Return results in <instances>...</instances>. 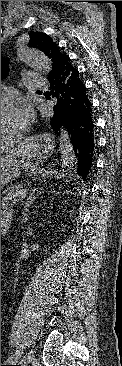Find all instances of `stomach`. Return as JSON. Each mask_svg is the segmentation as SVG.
Wrapping results in <instances>:
<instances>
[{"label": "stomach", "instance_id": "1", "mask_svg": "<svg viewBox=\"0 0 122 366\" xmlns=\"http://www.w3.org/2000/svg\"><path fill=\"white\" fill-rule=\"evenodd\" d=\"M38 143L37 140H33L28 146H37ZM21 160V153L18 152L1 156V185L9 183L13 178L18 176V170L22 162Z\"/></svg>", "mask_w": 122, "mask_h": 366}]
</instances>
